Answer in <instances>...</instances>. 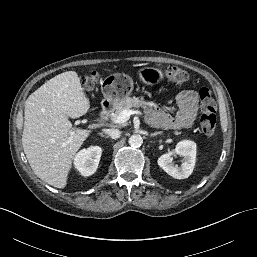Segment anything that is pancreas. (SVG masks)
<instances>
[{
  "label": "pancreas",
  "mask_w": 257,
  "mask_h": 257,
  "mask_svg": "<svg viewBox=\"0 0 257 257\" xmlns=\"http://www.w3.org/2000/svg\"><path fill=\"white\" fill-rule=\"evenodd\" d=\"M132 108H143L147 110L151 116L156 115V111L149 107L143 97H126L115 106V112L112 114V119L116 118L123 110H130Z\"/></svg>",
  "instance_id": "1"
}]
</instances>
